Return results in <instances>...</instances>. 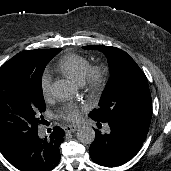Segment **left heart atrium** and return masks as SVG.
<instances>
[{"instance_id":"obj_1","label":"left heart atrium","mask_w":171,"mask_h":171,"mask_svg":"<svg viewBox=\"0 0 171 171\" xmlns=\"http://www.w3.org/2000/svg\"><path fill=\"white\" fill-rule=\"evenodd\" d=\"M81 116V109L73 104L68 103L64 106L63 111L61 112V117L68 121H78Z\"/></svg>"}]
</instances>
